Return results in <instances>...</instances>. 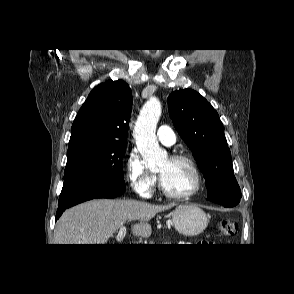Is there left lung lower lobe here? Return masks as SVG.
<instances>
[{"mask_svg":"<svg viewBox=\"0 0 294 294\" xmlns=\"http://www.w3.org/2000/svg\"><path fill=\"white\" fill-rule=\"evenodd\" d=\"M208 200L215 202V203H218V204H222L224 207L231 208V207L236 206L239 203L240 198H219V197H216V198H208Z\"/></svg>","mask_w":294,"mask_h":294,"instance_id":"left-lung-lower-lobe-1","label":"left lung lower lobe"}]
</instances>
